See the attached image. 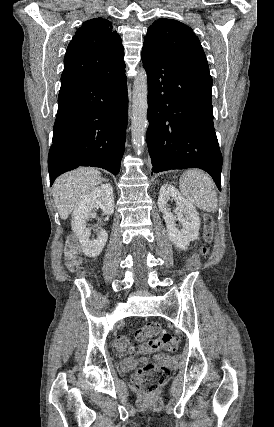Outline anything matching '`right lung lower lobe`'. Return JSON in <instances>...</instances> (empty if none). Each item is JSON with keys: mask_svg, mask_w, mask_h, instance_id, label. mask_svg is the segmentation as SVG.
Wrapping results in <instances>:
<instances>
[{"mask_svg": "<svg viewBox=\"0 0 274 427\" xmlns=\"http://www.w3.org/2000/svg\"><path fill=\"white\" fill-rule=\"evenodd\" d=\"M125 63L89 83L59 93L53 145L48 156L50 186L79 166L120 170L128 114Z\"/></svg>", "mask_w": 274, "mask_h": 427, "instance_id": "right-lung-lower-lobe-1", "label": "right lung lower lobe"}]
</instances>
